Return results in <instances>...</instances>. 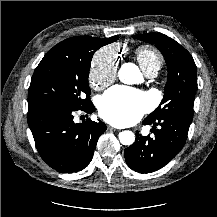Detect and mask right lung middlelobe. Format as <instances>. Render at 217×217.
Returning a JSON list of instances; mask_svg holds the SVG:
<instances>
[{"label":"right lung middle lobe","instance_id":"obj_1","mask_svg":"<svg viewBox=\"0 0 217 217\" xmlns=\"http://www.w3.org/2000/svg\"><path fill=\"white\" fill-rule=\"evenodd\" d=\"M100 47L88 38L77 45H56L49 50L31 79L28 110L44 107L78 110L90 104L88 75L92 56Z\"/></svg>","mask_w":217,"mask_h":217}]
</instances>
